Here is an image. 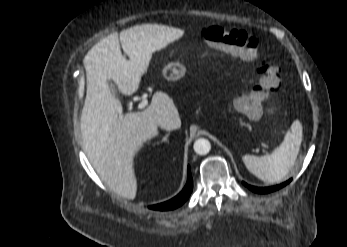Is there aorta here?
I'll list each match as a JSON object with an SVG mask.
<instances>
[{"label":"aorta","instance_id":"obj_1","mask_svg":"<svg viewBox=\"0 0 347 247\" xmlns=\"http://www.w3.org/2000/svg\"><path fill=\"white\" fill-rule=\"evenodd\" d=\"M193 148L198 155H206L211 150V144L209 140L199 138L194 142Z\"/></svg>","mask_w":347,"mask_h":247}]
</instances>
